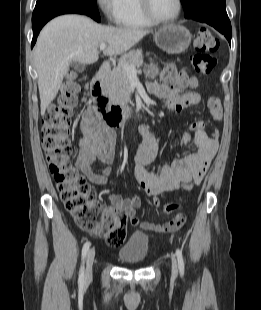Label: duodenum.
<instances>
[{"label":"duodenum","instance_id":"duodenum-1","mask_svg":"<svg viewBox=\"0 0 261 310\" xmlns=\"http://www.w3.org/2000/svg\"><path fill=\"white\" fill-rule=\"evenodd\" d=\"M110 70L105 61L90 82V94L93 107L88 114V121L99 131L121 126L131 117H139L140 113L131 105L114 104L105 89V78Z\"/></svg>","mask_w":261,"mask_h":310}]
</instances>
